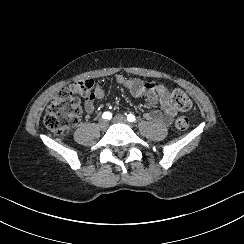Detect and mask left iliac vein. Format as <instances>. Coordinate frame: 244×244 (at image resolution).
I'll use <instances>...</instances> for the list:
<instances>
[{
	"label": "left iliac vein",
	"instance_id": "4c4485c4",
	"mask_svg": "<svg viewBox=\"0 0 244 244\" xmlns=\"http://www.w3.org/2000/svg\"><path fill=\"white\" fill-rule=\"evenodd\" d=\"M113 120L116 122V123H123V124H127L129 126H131L128 121L126 120V118L122 115H116Z\"/></svg>",
	"mask_w": 244,
	"mask_h": 244
}]
</instances>
